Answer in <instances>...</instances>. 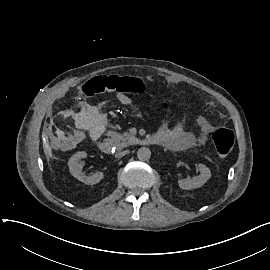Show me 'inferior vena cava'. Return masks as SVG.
<instances>
[{"label": "inferior vena cava", "instance_id": "inferior-vena-cava-1", "mask_svg": "<svg viewBox=\"0 0 270 270\" xmlns=\"http://www.w3.org/2000/svg\"><path fill=\"white\" fill-rule=\"evenodd\" d=\"M128 153H129V150H125V151H122V152L117 153L116 156L118 158H120V157H123L124 155H126Z\"/></svg>", "mask_w": 270, "mask_h": 270}]
</instances>
